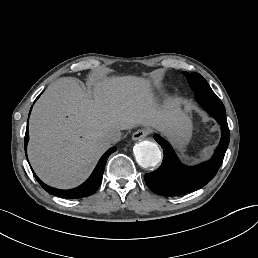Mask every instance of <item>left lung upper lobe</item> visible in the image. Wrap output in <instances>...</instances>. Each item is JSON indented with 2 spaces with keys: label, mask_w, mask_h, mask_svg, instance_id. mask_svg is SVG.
<instances>
[{
  "label": "left lung upper lobe",
  "mask_w": 258,
  "mask_h": 258,
  "mask_svg": "<svg viewBox=\"0 0 258 258\" xmlns=\"http://www.w3.org/2000/svg\"><path fill=\"white\" fill-rule=\"evenodd\" d=\"M184 75L187 77L188 79V82L192 88V90H194V87L195 86H198V85H208L207 81L198 73H188V72H183Z\"/></svg>",
  "instance_id": "5c2ea615"
}]
</instances>
